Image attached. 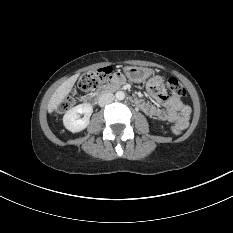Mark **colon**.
<instances>
[{"mask_svg":"<svg viewBox=\"0 0 233 233\" xmlns=\"http://www.w3.org/2000/svg\"><path fill=\"white\" fill-rule=\"evenodd\" d=\"M111 68L103 67L94 71L87 72L81 76L78 81V87L82 91H91L98 88L102 83L111 81ZM169 92L174 97H182L185 95L184 86L175 78L170 77L167 81ZM74 104V96H67L59 105L58 112L62 113L70 109ZM174 134L178 135L182 132L179 126L172 127Z\"/></svg>","mask_w":233,"mask_h":233,"instance_id":"obj_1","label":"colon"}]
</instances>
